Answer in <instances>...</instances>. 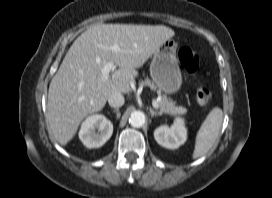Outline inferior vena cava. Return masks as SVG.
Segmentation results:
<instances>
[{
	"instance_id": "602c4592",
	"label": "inferior vena cava",
	"mask_w": 272,
	"mask_h": 198,
	"mask_svg": "<svg viewBox=\"0 0 272 198\" xmlns=\"http://www.w3.org/2000/svg\"><path fill=\"white\" fill-rule=\"evenodd\" d=\"M124 101V96L121 93H113L108 97L109 105L114 108L121 107Z\"/></svg>"
}]
</instances>
